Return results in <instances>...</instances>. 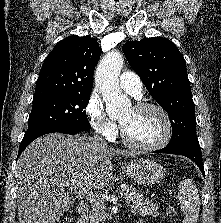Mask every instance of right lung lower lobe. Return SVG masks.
I'll list each match as a JSON object with an SVG mask.
<instances>
[{"mask_svg": "<svg viewBox=\"0 0 221 223\" xmlns=\"http://www.w3.org/2000/svg\"><path fill=\"white\" fill-rule=\"evenodd\" d=\"M81 130L73 129V128H68V127H49V128H43L36 130L32 133H25L21 144L19 146V152L18 156L25 150V148L36 138L47 134V133H53V132H60V133H65V134H70L74 135L79 133Z\"/></svg>", "mask_w": 221, "mask_h": 223, "instance_id": "1", "label": "right lung lower lobe"}]
</instances>
